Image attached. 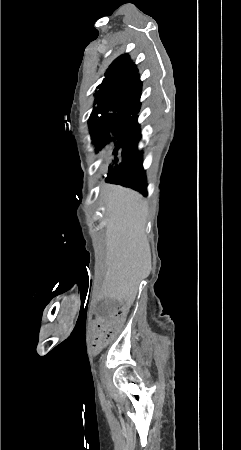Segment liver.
Returning <instances> with one entry per match:
<instances>
[{
  "mask_svg": "<svg viewBox=\"0 0 241 450\" xmlns=\"http://www.w3.org/2000/svg\"><path fill=\"white\" fill-rule=\"evenodd\" d=\"M101 198L109 216L104 286L111 298L133 304L140 282L151 272L147 202L134 190L110 184H103Z\"/></svg>",
  "mask_w": 241,
  "mask_h": 450,
  "instance_id": "1",
  "label": "liver"
}]
</instances>
